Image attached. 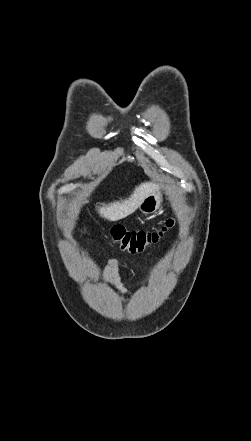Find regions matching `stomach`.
I'll list each match as a JSON object with an SVG mask.
<instances>
[{
    "label": "stomach",
    "instance_id": "stomach-1",
    "mask_svg": "<svg viewBox=\"0 0 251 441\" xmlns=\"http://www.w3.org/2000/svg\"><path fill=\"white\" fill-rule=\"evenodd\" d=\"M162 202V193L159 190L154 191L150 195H148L139 205V210L143 214H153L155 213L161 206Z\"/></svg>",
    "mask_w": 251,
    "mask_h": 441
}]
</instances>
